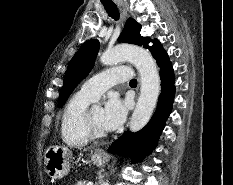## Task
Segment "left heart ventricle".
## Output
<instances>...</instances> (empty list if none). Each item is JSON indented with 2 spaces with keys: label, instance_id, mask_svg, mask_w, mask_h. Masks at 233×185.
<instances>
[{
  "label": "left heart ventricle",
  "instance_id": "left-heart-ventricle-1",
  "mask_svg": "<svg viewBox=\"0 0 233 185\" xmlns=\"http://www.w3.org/2000/svg\"><path fill=\"white\" fill-rule=\"evenodd\" d=\"M91 118H92V121H93L95 127L98 130L106 131L105 128L103 127V125H102V108L101 107L96 106V107L92 108Z\"/></svg>",
  "mask_w": 233,
  "mask_h": 185
}]
</instances>
